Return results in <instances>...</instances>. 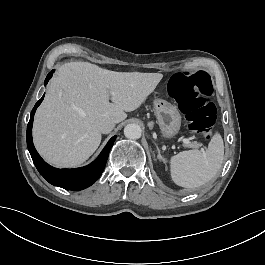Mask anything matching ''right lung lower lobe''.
I'll use <instances>...</instances> for the list:
<instances>
[{
  "mask_svg": "<svg viewBox=\"0 0 265 265\" xmlns=\"http://www.w3.org/2000/svg\"><path fill=\"white\" fill-rule=\"evenodd\" d=\"M54 70L48 73L44 84L52 77ZM43 97L36 103L30 116V121L27 126V147L31 154L32 160L40 172V174L52 185L67 189V190H83L91 186L102 174L109 151L116 139L112 137L105 148L102 150L98 158L91 164L75 169H57L48 165L37 153L32 141V123L35 111L40 105Z\"/></svg>",
  "mask_w": 265,
  "mask_h": 265,
  "instance_id": "1",
  "label": "right lung lower lobe"
}]
</instances>
